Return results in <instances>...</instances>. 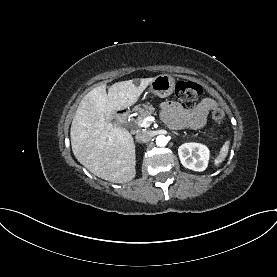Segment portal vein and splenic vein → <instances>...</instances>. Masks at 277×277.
I'll list each match as a JSON object with an SVG mask.
<instances>
[{"label":"portal vein and splenic vein","mask_w":277,"mask_h":277,"mask_svg":"<svg viewBox=\"0 0 277 277\" xmlns=\"http://www.w3.org/2000/svg\"><path fill=\"white\" fill-rule=\"evenodd\" d=\"M154 121V117L152 116H148L146 118H144L140 123L139 126L141 127H148L150 126V124Z\"/></svg>","instance_id":"1"}]
</instances>
